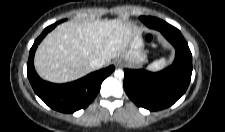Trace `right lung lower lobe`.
Here are the masks:
<instances>
[{
	"label": "right lung lower lobe",
	"mask_w": 225,
	"mask_h": 132,
	"mask_svg": "<svg viewBox=\"0 0 225 132\" xmlns=\"http://www.w3.org/2000/svg\"><path fill=\"white\" fill-rule=\"evenodd\" d=\"M59 22L47 27L30 49L27 76L35 93L52 109L73 113L87 107L98 94L102 81L115 69L114 66L93 72L77 81L66 84H52L43 81L35 72L33 59L36 48L42 39Z\"/></svg>",
	"instance_id": "right-lung-lower-lobe-1"
}]
</instances>
